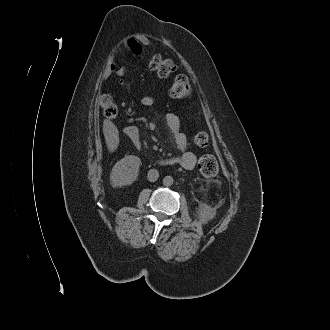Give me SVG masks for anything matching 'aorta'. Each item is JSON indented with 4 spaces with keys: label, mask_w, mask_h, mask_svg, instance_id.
Masks as SVG:
<instances>
[{
    "label": "aorta",
    "mask_w": 330,
    "mask_h": 330,
    "mask_svg": "<svg viewBox=\"0 0 330 330\" xmlns=\"http://www.w3.org/2000/svg\"><path fill=\"white\" fill-rule=\"evenodd\" d=\"M174 182V179L172 176H165L164 179H163V184L165 186H171Z\"/></svg>",
    "instance_id": "1"
}]
</instances>
